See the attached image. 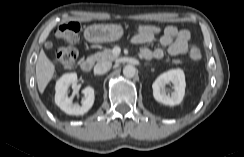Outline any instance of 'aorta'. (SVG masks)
I'll return each mask as SVG.
<instances>
[{
    "label": "aorta",
    "mask_w": 244,
    "mask_h": 157,
    "mask_svg": "<svg viewBox=\"0 0 244 157\" xmlns=\"http://www.w3.org/2000/svg\"><path fill=\"white\" fill-rule=\"evenodd\" d=\"M123 74L126 77L132 78L136 74V68L133 65H126L123 68Z\"/></svg>",
    "instance_id": "1"
}]
</instances>
